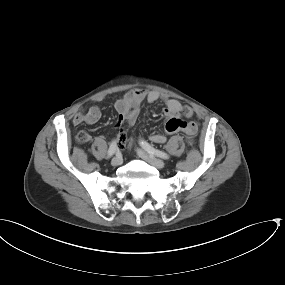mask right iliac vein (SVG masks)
Segmentation results:
<instances>
[{"instance_id":"right-iliac-vein-1","label":"right iliac vein","mask_w":285,"mask_h":285,"mask_svg":"<svg viewBox=\"0 0 285 285\" xmlns=\"http://www.w3.org/2000/svg\"><path fill=\"white\" fill-rule=\"evenodd\" d=\"M121 163H122V159L119 156H116L111 160L112 166H119Z\"/></svg>"}]
</instances>
